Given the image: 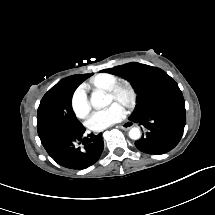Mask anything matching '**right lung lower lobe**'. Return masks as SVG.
Masks as SVG:
<instances>
[{
    "label": "right lung lower lobe",
    "instance_id": "right-lung-lower-lobe-1",
    "mask_svg": "<svg viewBox=\"0 0 215 215\" xmlns=\"http://www.w3.org/2000/svg\"><path fill=\"white\" fill-rule=\"evenodd\" d=\"M83 132L48 129L38 134L47 153L59 165L83 169L96 163L104 148L101 133L83 137Z\"/></svg>",
    "mask_w": 215,
    "mask_h": 215
}]
</instances>
